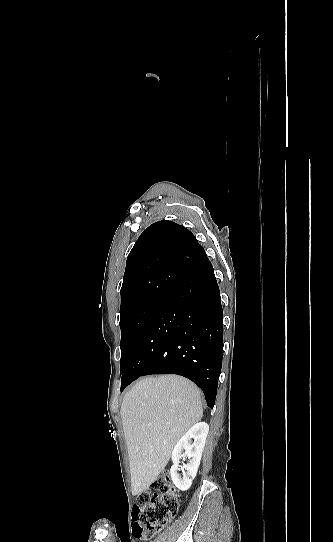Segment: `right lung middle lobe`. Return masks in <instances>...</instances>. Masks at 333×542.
<instances>
[{
    "label": "right lung middle lobe",
    "instance_id": "dd1d6c3e",
    "mask_svg": "<svg viewBox=\"0 0 333 542\" xmlns=\"http://www.w3.org/2000/svg\"><path fill=\"white\" fill-rule=\"evenodd\" d=\"M167 293L153 294L137 304L120 311L121 362L120 375L132 359L137 340L153 311L164 300Z\"/></svg>",
    "mask_w": 333,
    "mask_h": 542
}]
</instances>
